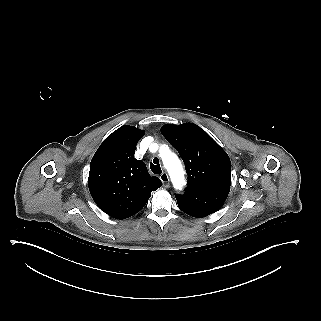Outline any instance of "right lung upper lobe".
I'll list each match as a JSON object with an SVG mask.
<instances>
[{
  "mask_svg": "<svg viewBox=\"0 0 321 321\" xmlns=\"http://www.w3.org/2000/svg\"><path fill=\"white\" fill-rule=\"evenodd\" d=\"M144 131L125 125L109 135L94 154L88 178L92 198L98 207L116 219L139 212L151 192L162 186L150 176L142 160L134 158Z\"/></svg>",
  "mask_w": 321,
  "mask_h": 321,
  "instance_id": "1",
  "label": "right lung upper lobe"
}]
</instances>
